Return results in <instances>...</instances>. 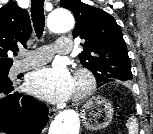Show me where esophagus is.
Instances as JSON below:
<instances>
[{"label":"esophagus","instance_id":"obj_1","mask_svg":"<svg viewBox=\"0 0 153 134\" xmlns=\"http://www.w3.org/2000/svg\"><path fill=\"white\" fill-rule=\"evenodd\" d=\"M56 115V109H49V117H53Z\"/></svg>","mask_w":153,"mask_h":134}]
</instances>
